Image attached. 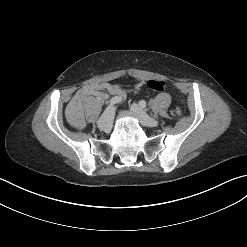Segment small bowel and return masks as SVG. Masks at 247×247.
<instances>
[{
    "instance_id": "small-bowel-1",
    "label": "small bowel",
    "mask_w": 247,
    "mask_h": 247,
    "mask_svg": "<svg viewBox=\"0 0 247 247\" xmlns=\"http://www.w3.org/2000/svg\"><path fill=\"white\" fill-rule=\"evenodd\" d=\"M141 86L142 84H138L136 88H139ZM120 91L121 88L119 86L109 83H100L83 86L71 98L67 106L66 116L68 122L75 128L83 129L86 125V121L84 118L83 102L87 101L92 96H95L100 99H105L109 94Z\"/></svg>"
}]
</instances>
